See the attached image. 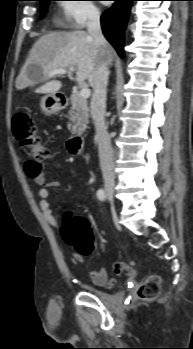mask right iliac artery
<instances>
[{
  "label": "right iliac artery",
  "instance_id": "right-iliac-artery-1",
  "mask_svg": "<svg viewBox=\"0 0 193 349\" xmlns=\"http://www.w3.org/2000/svg\"><path fill=\"white\" fill-rule=\"evenodd\" d=\"M97 197H98L99 200L104 201L105 198H106L105 191L103 189H99L97 191Z\"/></svg>",
  "mask_w": 193,
  "mask_h": 349
}]
</instances>
